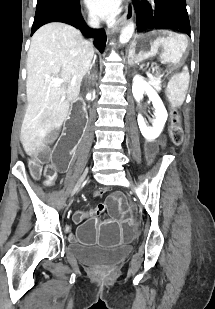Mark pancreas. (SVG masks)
<instances>
[{"mask_svg": "<svg viewBox=\"0 0 215 309\" xmlns=\"http://www.w3.org/2000/svg\"><path fill=\"white\" fill-rule=\"evenodd\" d=\"M156 88H157V90H161L160 84H156Z\"/></svg>", "mask_w": 215, "mask_h": 309, "instance_id": "1", "label": "pancreas"}]
</instances>
